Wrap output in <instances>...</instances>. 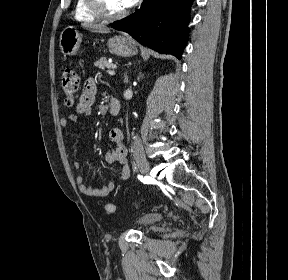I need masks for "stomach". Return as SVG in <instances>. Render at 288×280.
Listing matches in <instances>:
<instances>
[{"label": "stomach", "instance_id": "1", "mask_svg": "<svg viewBox=\"0 0 288 280\" xmlns=\"http://www.w3.org/2000/svg\"><path fill=\"white\" fill-rule=\"evenodd\" d=\"M82 42L80 33L73 27H66L60 35V48L66 55H76ZM109 50L123 57H129L137 53L136 47L123 36H114L107 42Z\"/></svg>", "mask_w": 288, "mask_h": 280}]
</instances>
